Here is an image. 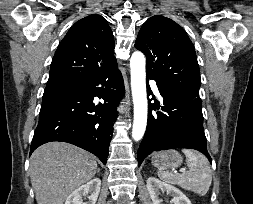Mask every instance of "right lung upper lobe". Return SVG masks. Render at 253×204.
<instances>
[{"mask_svg":"<svg viewBox=\"0 0 253 204\" xmlns=\"http://www.w3.org/2000/svg\"><path fill=\"white\" fill-rule=\"evenodd\" d=\"M117 67L114 36L102 16L77 21L60 42L53 57L48 82L77 83Z\"/></svg>","mask_w":253,"mask_h":204,"instance_id":"cb5924a9","label":"right lung upper lobe"}]
</instances>
